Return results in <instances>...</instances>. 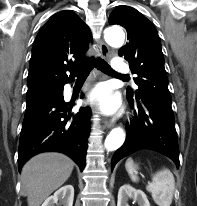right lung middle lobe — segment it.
Masks as SVG:
<instances>
[{
    "mask_svg": "<svg viewBox=\"0 0 197 206\" xmlns=\"http://www.w3.org/2000/svg\"><path fill=\"white\" fill-rule=\"evenodd\" d=\"M60 89H34L28 90L26 96L27 107L32 108L46 100L54 98L58 95Z\"/></svg>",
    "mask_w": 197,
    "mask_h": 206,
    "instance_id": "1",
    "label": "right lung middle lobe"
}]
</instances>
